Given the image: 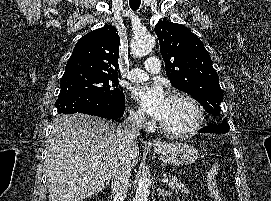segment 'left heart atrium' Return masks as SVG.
Wrapping results in <instances>:
<instances>
[{
    "mask_svg": "<svg viewBox=\"0 0 271 201\" xmlns=\"http://www.w3.org/2000/svg\"><path fill=\"white\" fill-rule=\"evenodd\" d=\"M133 95L143 111L156 120L163 119L167 110L168 98L161 86L139 85L135 87Z\"/></svg>",
    "mask_w": 271,
    "mask_h": 201,
    "instance_id": "obj_1",
    "label": "left heart atrium"
}]
</instances>
